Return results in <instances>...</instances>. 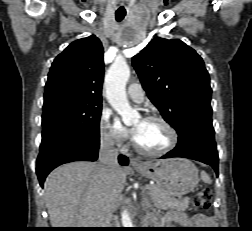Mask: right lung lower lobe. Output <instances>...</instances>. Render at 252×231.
<instances>
[{
	"mask_svg": "<svg viewBox=\"0 0 252 231\" xmlns=\"http://www.w3.org/2000/svg\"><path fill=\"white\" fill-rule=\"evenodd\" d=\"M99 144V137L76 133H59L42 140L36 164L40 185L43 186L49 172L61 164L97 160ZM119 163L128 165V158L120 155Z\"/></svg>",
	"mask_w": 252,
	"mask_h": 231,
	"instance_id": "98d812e1",
	"label": "right lung lower lobe"
}]
</instances>
